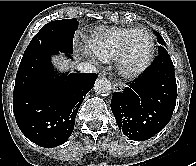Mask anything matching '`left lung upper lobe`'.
Returning <instances> with one entry per match:
<instances>
[{
  "instance_id": "obj_1",
  "label": "left lung upper lobe",
  "mask_w": 196,
  "mask_h": 166,
  "mask_svg": "<svg viewBox=\"0 0 196 166\" xmlns=\"http://www.w3.org/2000/svg\"><path fill=\"white\" fill-rule=\"evenodd\" d=\"M155 35L157 36L158 43L160 44V46L158 47V53L166 51V48H165L166 47V43L163 40L162 36L157 31H155Z\"/></svg>"
}]
</instances>
